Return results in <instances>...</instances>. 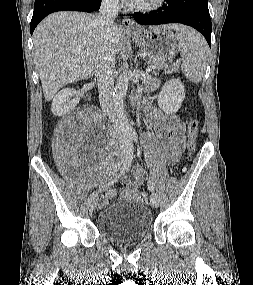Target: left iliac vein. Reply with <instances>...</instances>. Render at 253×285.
<instances>
[{
	"label": "left iliac vein",
	"mask_w": 253,
	"mask_h": 285,
	"mask_svg": "<svg viewBox=\"0 0 253 285\" xmlns=\"http://www.w3.org/2000/svg\"><path fill=\"white\" fill-rule=\"evenodd\" d=\"M150 204L154 208H157L159 206V198H158V195L155 192L151 193Z\"/></svg>",
	"instance_id": "left-iliac-vein-1"
}]
</instances>
